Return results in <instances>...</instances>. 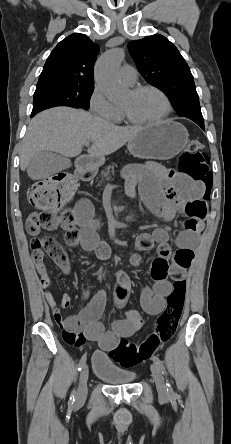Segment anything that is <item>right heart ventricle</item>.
I'll use <instances>...</instances> for the list:
<instances>
[{
    "label": "right heart ventricle",
    "mask_w": 231,
    "mask_h": 444,
    "mask_svg": "<svg viewBox=\"0 0 231 444\" xmlns=\"http://www.w3.org/2000/svg\"><path fill=\"white\" fill-rule=\"evenodd\" d=\"M119 120H121V112H120V115H119V118H118V120H117V121H119Z\"/></svg>",
    "instance_id": "1"
}]
</instances>
